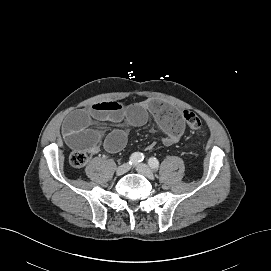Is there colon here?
<instances>
[{
  "label": "colon",
  "mask_w": 271,
  "mask_h": 271,
  "mask_svg": "<svg viewBox=\"0 0 271 271\" xmlns=\"http://www.w3.org/2000/svg\"><path fill=\"white\" fill-rule=\"evenodd\" d=\"M182 117L191 130L200 131L202 129V122L195 113L185 110L182 112ZM88 160L89 154L85 151H76L70 156V164L77 168L83 167Z\"/></svg>",
  "instance_id": "obj_1"
}]
</instances>
